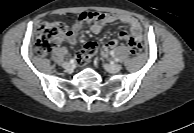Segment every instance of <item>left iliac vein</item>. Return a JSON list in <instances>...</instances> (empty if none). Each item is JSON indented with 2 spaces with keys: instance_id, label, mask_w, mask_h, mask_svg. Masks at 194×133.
Wrapping results in <instances>:
<instances>
[{
  "instance_id": "left-iliac-vein-1",
  "label": "left iliac vein",
  "mask_w": 194,
  "mask_h": 133,
  "mask_svg": "<svg viewBox=\"0 0 194 133\" xmlns=\"http://www.w3.org/2000/svg\"><path fill=\"white\" fill-rule=\"evenodd\" d=\"M104 68L109 73H117L122 69V65H120V64H105Z\"/></svg>"
}]
</instances>
